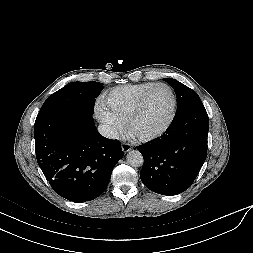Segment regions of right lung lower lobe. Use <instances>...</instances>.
Segmentation results:
<instances>
[{"label":"right lung lower lobe","mask_w":253,"mask_h":253,"mask_svg":"<svg viewBox=\"0 0 253 253\" xmlns=\"http://www.w3.org/2000/svg\"><path fill=\"white\" fill-rule=\"evenodd\" d=\"M34 136L46 179L57 194L74 202L98 197L124 155L120 142L101 136L92 115L83 112L40 111Z\"/></svg>","instance_id":"right-lung-lower-lobe-1"}]
</instances>
